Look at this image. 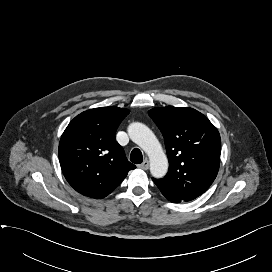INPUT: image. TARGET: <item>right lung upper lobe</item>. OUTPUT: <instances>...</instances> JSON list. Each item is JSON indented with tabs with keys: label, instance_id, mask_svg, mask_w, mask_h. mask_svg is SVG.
Returning <instances> with one entry per match:
<instances>
[{
	"label": "right lung upper lobe",
	"instance_id": "1",
	"mask_svg": "<svg viewBox=\"0 0 272 272\" xmlns=\"http://www.w3.org/2000/svg\"><path fill=\"white\" fill-rule=\"evenodd\" d=\"M128 109L95 108L77 115L59 142V161L68 183L84 196L109 195L136 168L115 139Z\"/></svg>",
	"mask_w": 272,
	"mask_h": 272
}]
</instances>
